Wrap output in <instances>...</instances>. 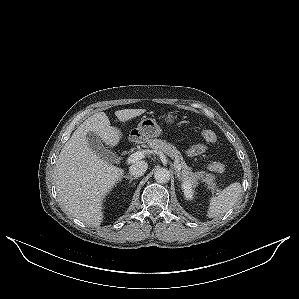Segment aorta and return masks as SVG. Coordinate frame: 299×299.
Returning <instances> with one entry per match:
<instances>
[{
    "label": "aorta",
    "instance_id": "obj_1",
    "mask_svg": "<svg viewBox=\"0 0 299 299\" xmlns=\"http://www.w3.org/2000/svg\"><path fill=\"white\" fill-rule=\"evenodd\" d=\"M154 178L158 183H167L170 180V172L166 168H158L154 172Z\"/></svg>",
    "mask_w": 299,
    "mask_h": 299
}]
</instances>
